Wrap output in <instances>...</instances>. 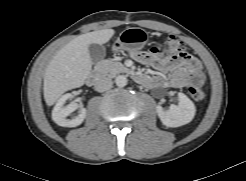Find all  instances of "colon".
Returning a JSON list of instances; mask_svg holds the SVG:
<instances>
[{"instance_id":"colon-1","label":"colon","mask_w":246,"mask_h":181,"mask_svg":"<svg viewBox=\"0 0 246 181\" xmlns=\"http://www.w3.org/2000/svg\"><path fill=\"white\" fill-rule=\"evenodd\" d=\"M186 49V45L184 42L178 40L176 37L169 35L165 38L164 44L160 47H154L153 52L162 53L165 52L167 54H176L183 52ZM193 69V77L197 83H201L203 81V75L201 73L199 62H195L192 65ZM189 93L191 97L196 101H201L205 98L204 91L199 87V85H193L189 88Z\"/></svg>"}]
</instances>
